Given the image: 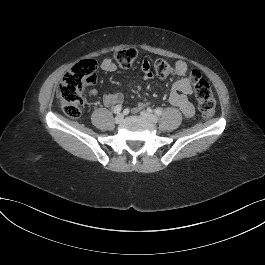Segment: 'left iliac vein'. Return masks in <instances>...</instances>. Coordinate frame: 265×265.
Listing matches in <instances>:
<instances>
[{
  "instance_id": "1",
  "label": "left iliac vein",
  "mask_w": 265,
  "mask_h": 265,
  "mask_svg": "<svg viewBox=\"0 0 265 265\" xmlns=\"http://www.w3.org/2000/svg\"><path fill=\"white\" fill-rule=\"evenodd\" d=\"M140 115L142 117H144L145 119L149 120L150 122L152 123H157L158 122V117L150 112H147V111H142L140 113Z\"/></svg>"
}]
</instances>
